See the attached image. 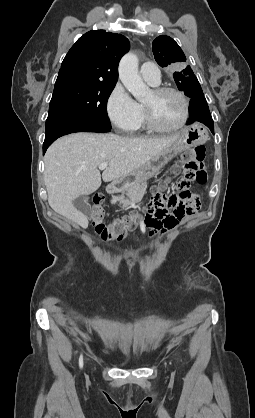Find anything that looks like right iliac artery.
<instances>
[{
	"label": "right iliac artery",
	"mask_w": 255,
	"mask_h": 418,
	"mask_svg": "<svg viewBox=\"0 0 255 418\" xmlns=\"http://www.w3.org/2000/svg\"><path fill=\"white\" fill-rule=\"evenodd\" d=\"M79 366H80V368L83 367V356L82 355L79 358Z\"/></svg>",
	"instance_id": "obj_1"
}]
</instances>
